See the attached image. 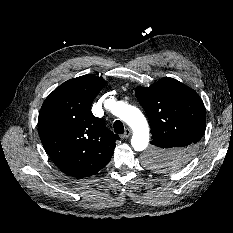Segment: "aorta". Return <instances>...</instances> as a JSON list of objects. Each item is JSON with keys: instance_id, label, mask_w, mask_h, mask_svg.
<instances>
[{"instance_id": "aorta-1", "label": "aorta", "mask_w": 233, "mask_h": 233, "mask_svg": "<svg viewBox=\"0 0 233 233\" xmlns=\"http://www.w3.org/2000/svg\"><path fill=\"white\" fill-rule=\"evenodd\" d=\"M114 115L123 120L133 131L131 145L136 151H143L149 143V127L142 112L131 105L123 102H116L110 107L109 102L105 103Z\"/></svg>"}]
</instances>
